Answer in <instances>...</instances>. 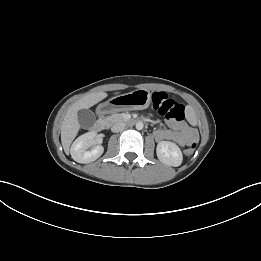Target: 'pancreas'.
Masks as SVG:
<instances>
[{"label": "pancreas", "mask_w": 261, "mask_h": 261, "mask_svg": "<svg viewBox=\"0 0 261 261\" xmlns=\"http://www.w3.org/2000/svg\"><path fill=\"white\" fill-rule=\"evenodd\" d=\"M105 120L112 124L118 121H123L124 118L121 114H112L111 116H108Z\"/></svg>", "instance_id": "cf45deb5"}]
</instances>
